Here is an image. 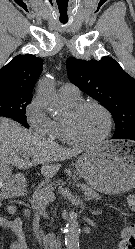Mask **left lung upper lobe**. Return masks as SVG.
<instances>
[{"label":"left lung upper lobe","mask_w":135,"mask_h":249,"mask_svg":"<svg viewBox=\"0 0 135 249\" xmlns=\"http://www.w3.org/2000/svg\"><path fill=\"white\" fill-rule=\"evenodd\" d=\"M67 68L70 81L111 112L116 125L113 137L135 131V79L113 58L86 61L71 57Z\"/></svg>","instance_id":"5c2ea615"}]
</instances>
